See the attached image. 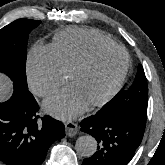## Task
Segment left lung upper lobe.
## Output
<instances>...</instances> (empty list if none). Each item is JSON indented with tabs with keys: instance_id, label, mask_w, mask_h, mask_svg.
<instances>
[{
	"instance_id": "obj_1",
	"label": "left lung upper lobe",
	"mask_w": 165,
	"mask_h": 165,
	"mask_svg": "<svg viewBox=\"0 0 165 165\" xmlns=\"http://www.w3.org/2000/svg\"><path fill=\"white\" fill-rule=\"evenodd\" d=\"M148 86L141 65L138 66L135 80L128 90H121L96 114L100 116L147 117Z\"/></svg>"
}]
</instances>
